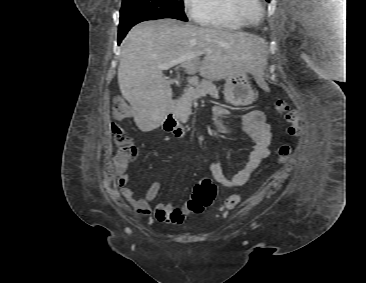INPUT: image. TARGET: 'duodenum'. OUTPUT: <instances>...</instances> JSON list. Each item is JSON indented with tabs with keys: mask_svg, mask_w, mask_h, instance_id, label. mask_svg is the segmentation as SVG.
Listing matches in <instances>:
<instances>
[{
	"mask_svg": "<svg viewBox=\"0 0 366 283\" xmlns=\"http://www.w3.org/2000/svg\"><path fill=\"white\" fill-rule=\"evenodd\" d=\"M163 126L166 131L173 133L176 137H180L183 134L180 121L176 117L173 107H170L168 110Z\"/></svg>",
	"mask_w": 366,
	"mask_h": 283,
	"instance_id": "duodenum-1",
	"label": "duodenum"
}]
</instances>
